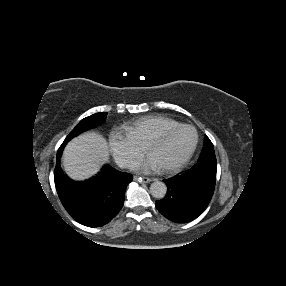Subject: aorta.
Segmentation results:
<instances>
[{"mask_svg": "<svg viewBox=\"0 0 286 286\" xmlns=\"http://www.w3.org/2000/svg\"><path fill=\"white\" fill-rule=\"evenodd\" d=\"M150 193L154 198L162 199L167 193V186L162 181H155L150 186Z\"/></svg>", "mask_w": 286, "mask_h": 286, "instance_id": "1", "label": "aorta"}]
</instances>
